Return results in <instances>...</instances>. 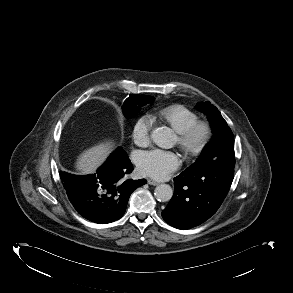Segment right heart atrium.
I'll return each instance as SVG.
<instances>
[{"label": "right heart atrium", "mask_w": 293, "mask_h": 293, "mask_svg": "<svg viewBox=\"0 0 293 293\" xmlns=\"http://www.w3.org/2000/svg\"><path fill=\"white\" fill-rule=\"evenodd\" d=\"M153 125V119L149 115L140 116L132 127L133 141L139 146H145L150 141V132Z\"/></svg>", "instance_id": "right-heart-atrium-1"}]
</instances>
